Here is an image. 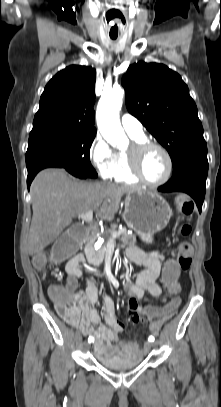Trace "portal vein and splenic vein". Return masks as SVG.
<instances>
[{
    "label": "portal vein and splenic vein",
    "mask_w": 221,
    "mask_h": 407,
    "mask_svg": "<svg viewBox=\"0 0 221 407\" xmlns=\"http://www.w3.org/2000/svg\"><path fill=\"white\" fill-rule=\"evenodd\" d=\"M78 218H80V219H82V220H84V221H86V222L91 223V222L93 221V211L90 210V211H88V212H86V213H84V214H79V215H78ZM119 234H120V233H117V232L113 231V232L111 233V236H112V237H117V236H119Z\"/></svg>",
    "instance_id": "portal-vein-and-splenic-vein-1"
}]
</instances>
